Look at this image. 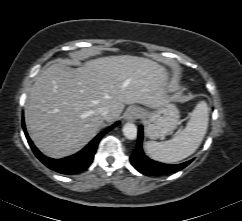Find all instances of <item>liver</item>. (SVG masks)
Returning <instances> with one entry per match:
<instances>
[{"label": "liver", "instance_id": "6515ba94", "mask_svg": "<svg viewBox=\"0 0 242 221\" xmlns=\"http://www.w3.org/2000/svg\"><path fill=\"white\" fill-rule=\"evenodd\" d=\"M167 69L147 58L119 55L86 61L78 68L55 63L36 77L25 105V123L35 146L63 158L81 150L125 104L160 108L171 101Z\"/></svg>", "mask_w": 242, "mask_h": 221}]
</instances>
